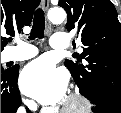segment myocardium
Returning <instances> with one entry per match:
<instances>
[{
	"instance_id": "obj_1",
	"label": "myocardium",
	"mask_w": 121,
	"mask_h": 113,
	"mask_svg": "<svg viewBox=\"0 0 121 113\" xmlns=\"http://www.w3.org/2000/svg\"><path fill=\"white\" fill-rule=\"evenodd\" d=\"M90 100L83 95L81 92L73 91L69 93L63 110L65 111H76V110H89L91 109Z\"/></svg>"
}]
</instances>
